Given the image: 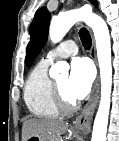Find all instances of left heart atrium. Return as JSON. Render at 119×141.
<instances>
[{
    "mask_svg": "<svg viewBox=\"0 0 119 141\" xmlns=\"http://www.w3.org/2000/svg\"><path fill=\"white\" fill-rule=\"evenodd\" d=\"M94 79L91 63L85 58H76L71 62L67 81V93L74 100H82L89 93Z\"/></svg>",
    "mask_w": 119,
    "mask_h": 141,
    "instance_id": "39dd6f15",
    "label": "left heart atrium"
}]
</instances>
